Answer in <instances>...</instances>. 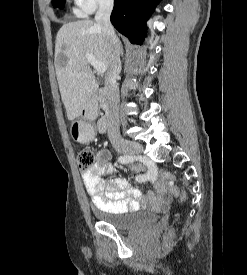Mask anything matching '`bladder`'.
<instances>
[{
	"label": "bladder",
	"instance_id": "obj_1",
	"mask_svg": "<svg viewBox=\"0 0 247 275\" xmlns=\"http://www.w3.org/2000/svg\"><path fill=\"white\" fill-rule=\"evenodd\" d=\"M91 212L99 222L108 224L116 229H130L137 226L154 225L158 216L142 209L127 210L121 212H110L98 207H92Z\"/></svg>",
	"mask_w": 247,
	"mask_h": 275
}]
</instances>
